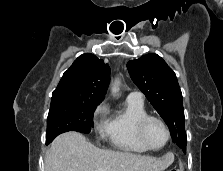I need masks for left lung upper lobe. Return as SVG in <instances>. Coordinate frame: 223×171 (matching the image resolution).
Masks as SVG:
<instances>
[{
	"label": "left lung upper lobe",
	"instance_id": "obj_1",
	"mask_svg": "<svg viewBox=\"0 0 223 171\" xmlns=\"http://www.w3.org/2000/svg\"><path fill=\"white\" fill-rule=\"evenodd\" d=\"M127 68L133 82L169 127L173 142L186 152L183 99L173 70L154 53L129 61Z\"/></svg>",
	"mask_w": 223,
	"mask_h": 171
}]
</instances>
